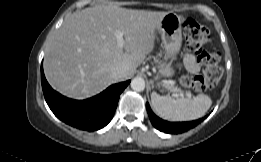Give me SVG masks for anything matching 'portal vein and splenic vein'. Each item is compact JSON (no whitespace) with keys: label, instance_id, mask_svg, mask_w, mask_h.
<instances>
[{"label":"portal vein and splenic vein","instance_id":"18ae733b","mask_svg":"<svg viewBox=\"0 0 261 162\" xmlns=\"http://www.w3.org/2000/svg\"><path fill=\"white\" fill-rule=\"evenodd\" d=\"M114 35L116 37V40H117V46L122 49L124 47V39H123V36H124V32L120 31V30H115L114 31ZM167 84L173 86L174 85V81L172 80H169V81H166ZM172 92H175L174 96H178V95H183V93L180 91V89H177V88H173L171 89ZM179 92V94H177ZM189 96V95H188Z\"/></svg>","mask_w":261,"mask_h":162}]
</instances>
